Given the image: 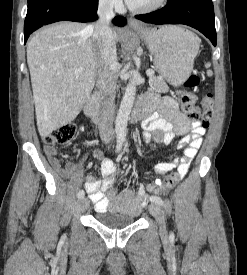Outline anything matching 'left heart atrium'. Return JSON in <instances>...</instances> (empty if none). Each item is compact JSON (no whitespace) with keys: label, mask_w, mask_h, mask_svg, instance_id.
I'll return each instance as SVG.
<instances>
[{"label":"left heart atrium","mask_w":247,"mask_h":275,"mask_svg":"<svg viewBox=\"0 0 247 275\" xmlns=\"http://www.w3.org/2000/svg\"><path fill=\"white\" fill-rule=\"evenodd\" d=\"M128 3H131L132 2V0H126Z\"/></svg>","instance_id":"1"}]
</instances>
